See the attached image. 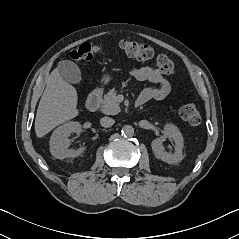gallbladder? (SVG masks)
<instances>
[{"instance_id":"bac80fb5","label":"gallbladder","mask_w":239,"mask_h":239,"mask_svg":"<svg viewBox=\"0 0 239 239\" xmlns=\"http://www.w3.org/2000/svg\"><path fill=\"white\" fill-rule=\"evenodd\" d=\"M62 77L73 84H79L82 80L79 67L70 60H62L57 66Z\"/></svg>"}]
</instances>
